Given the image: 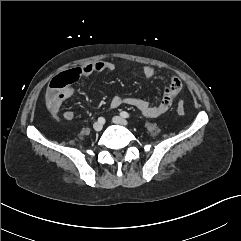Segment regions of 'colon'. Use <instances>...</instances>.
I'll return each instance as SVG.
<instances>
[{
  "label": "colon",
  "mask_w": 241,
  "mask_h": 241,
  "mask_svg": "<svg viewBox=\"0 0 241 241\" xmlns=\"http://www.w3.org/2000/svg\"><path fill=\"white\" fill-rule=\"evenodd\" d=\"M85 75V70L81 65H77L73 69H69L67 72L61 73L56 76L50 83L48 88V98H53L58 92L66 87H68L74 81L81 80ZM177 112L179 114L185 113L184 102H179L177 105Z\"/></svg>",
  "instance_id": "colon-1"
}]
</instances>
